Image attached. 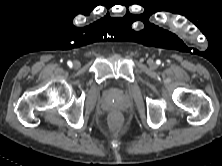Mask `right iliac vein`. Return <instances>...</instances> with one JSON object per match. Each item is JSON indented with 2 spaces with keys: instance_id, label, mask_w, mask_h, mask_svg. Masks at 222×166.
I'll return each instance as SVG.
<instances>
[{
  "instance_id": "right-iliac-vein-1",
  "label": "right iliac vein",
  "mask_w": 222,
  "mask_h": 166,
  "mask_svg": "<svg viewBox=\"0 0 222 166\" xmlns=\"http://www.w3.org/2000/svg\"><path fill=\"white\" fill-rule=\"evenodd\" d=\"M73 66H74V68H79L80 67V62L79 61H74Z\"/></svg>"
}]
</instances>
